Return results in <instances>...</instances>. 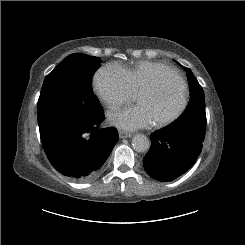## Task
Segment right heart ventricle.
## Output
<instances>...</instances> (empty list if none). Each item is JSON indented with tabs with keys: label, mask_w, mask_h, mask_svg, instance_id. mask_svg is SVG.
<instances>
[{
	"label": "right heart ventricle",
	"mask_w": 245,
	"mask_h": 245,
	"mask_svg": "<svg viewBox=\"0 0 245 245\" xmlns=\"http://www.w3.org/2000/svg\"><path fill=\"white\" fill-rule=\"evenodd\" d=\"M168 68V66L161 63L141 61L134 67L126 69V71L135 93H139L146 86L155 83L158 75Z\"/></svg>",
	"instance_id": "right-heart-ventricle-1"
}]
</instances>
